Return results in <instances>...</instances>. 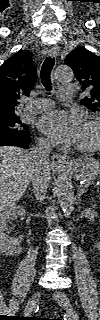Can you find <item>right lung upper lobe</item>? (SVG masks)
I'll use <instances>...</instances> for the list:
<instances>
[{
	"instance_id": "1",
	"label": "right lung upper lobe",
	"mask_w": 100,
	"mask_h": 320,
	"mask_svg": "<svg viewBox=\"0 0 100 320\" xmlns=\"http://www.w3.org/2000/svg\"><path fill=\"white\" fill-rule=\"evenodd\" d=\"M37 74L32 53L19 51L0 67V119L17 117L15 107L19 99L28 96Z\"/></svg>"
}]
</instances>
